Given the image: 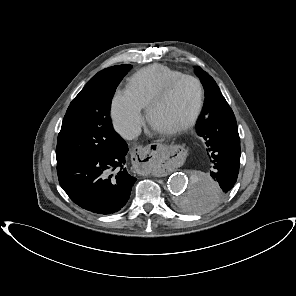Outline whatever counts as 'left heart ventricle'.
<instances>
[{
  "instance_id": "b2bd125f",
  "label": "left heart ventricle",
  "mask_w": 296,
  "mask_h": 296,
  "mask_svg": "<svg viewBox=\"0 0 296 296\" xmlns=\"http://www.w3.org/2000/svg\"><path fill=\"white\" fill-rule=\"evenodd\" d=\"M198 100V89L194 82H180L168 98L152 113L153 126L158 130L171 129L189 118Z\"/></svg>"
}]
</instances>
